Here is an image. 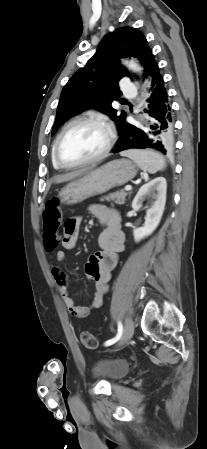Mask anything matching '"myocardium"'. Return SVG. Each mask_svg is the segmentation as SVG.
<instances>
[{
  "label": "myocardium",
  "instance_id": "myocardium-1",
  "mask_svg": "<svg viewBox=\"0 0 207 449\" xmlns=\"http://www.w3.org/2000/svg\"><path fill=\"white\" fill-rule=\"evenodd\" d=\"M79 124H91V125H96V126L103 128L107 134V142H106L104 149L95 157H92V158H90L88 160H84V161L68 163V162L64 161L60 156V153H59L60 143H61L64 135L72 127L79 125ZM114 143H115V132H114L113 128L111 127V125L107 121H105L102 118L82 117V118L75 119V120L71 121L70 123H68L62 129V131L58 134V136L54 142V150H53L54 158H55L57 164L60 167L65 168V169H73V168L83 167V166H87V165L99 162L102 159H104L105 157H107L108 154L110 153Z\"/></svg>",
  "mask_w": 207,
  "mask_h": 449
}]
</instances>
